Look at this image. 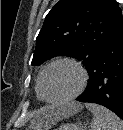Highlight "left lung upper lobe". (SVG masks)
<instances>
[{
    "mask_svg": "<svg viewBox=\"0 0 123 130\" xmlns=\"http://www.w3.org/2000/svg\"><path fill=\"white\" fill-rule=\"evenodd\" d=\"M122 25L115 0H60L45 18L31 64L65 55L82 61L88 71Z\"/></svg>",
    "mask_w": 123,
    "mask_h": 130,
    "instance_id": "1",
    "label": "left lung upper lobe"
}]
</instances>
